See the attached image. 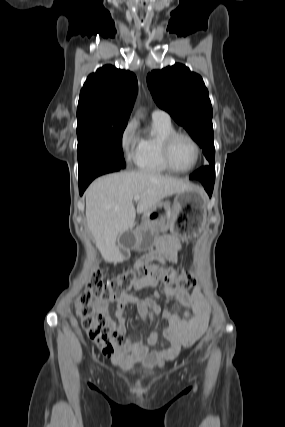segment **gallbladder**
I'll use <instances>...</instances> for the list:
<instances>
[{
	"mask_svg": "<svg viewBox=\"0 0 285 427\" xmlns=\"http://www.w3.org/2000/svg\"><path fill=\"white\" fill-rule=\"evenodd\" d=\"M126 235V233H124V234H122V235H120V237H119V240H120V243L123 245L124 243H123V238H124V236ZM125 245V244H124Z\"/></svg>",
	"mask_w": 285,
	"mask_h": 427,
	"instance_id": "obj_1",
	"label": "gallbladder"
}]
</instances>
